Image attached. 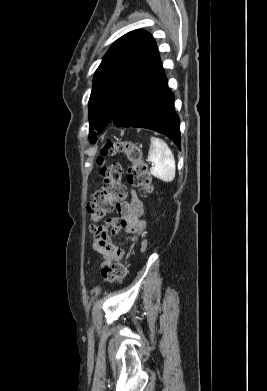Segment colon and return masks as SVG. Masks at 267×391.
<instances>
[{
    "mask_svg": "<svg viewBox=\"0 0 267 391\" xmlns=\"http://www.w3.org/2000/svg\"><path fill=\"white\" fill-rule=\"evenodd\" d=\"M124 153L131 163L128 170V182L145 192L152 190V177L148 167L143 160L141 147L131 140L112 141L108 140L102 147L97 163L99 173L103 182L100 190L93 195L92 201L88 204L87 211L90 217V230L94 234L100 231L99 223L112 211L115 202L125 199L127 190L121 182L122 167L119 163L106 164L105 158ZM127 272V265L122 262H113L104 267L101 271L105 282L113 283L124 278Z\"/></svg>",
    "mask_w": 267,
    "mask_h": 391,
    "instance_id": "colon-1",
    "label": "colon"
}]
</instances>
